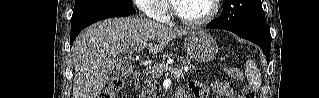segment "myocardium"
<instances>
[{"mask_svg": "<svg viewBox=\"0 0 319 98\" xmlns=\"http://www.w3.org/2000/svg\"><path fill=\"white\" fill-rule=\"evenodd\" d=\"M220 3H221L220 0H211L212 9L210 13L204 18L197 19V20H191V19H187L183 17L178 12L177 7L173 3H172V13L174 17L185 26L191 27V28H198V27H202L209 24L215 19V17L217 16L220 10Z\"/></svg>", "mask_w": 319, "mask_h": 98, "instance_id": "1", "label": "myocardium"}]
</instances>
